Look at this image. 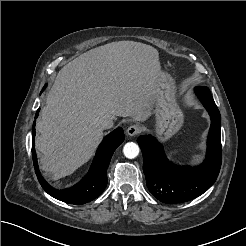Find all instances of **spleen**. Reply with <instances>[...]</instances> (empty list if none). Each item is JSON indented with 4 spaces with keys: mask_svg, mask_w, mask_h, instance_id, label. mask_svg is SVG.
Instances as JSON below:
<instances>
[{
    "mask_svg": "<svg viewBox=\"0 0 246 246\" xmlns=\"http://www.w3.org/2000/svg\"><path fill=\"white\" fill-rule=\"evenodd\" d=\"M180 152V150L170 151L168 152V157L172 158L173 156L177 155Z\"/></svg>",
    "mask_w": 246,
    "mask_h": 246,
    "instance_id": "3e777b00",
    "label": "spleen"
}]
</instances>
